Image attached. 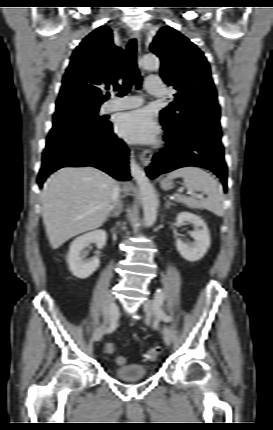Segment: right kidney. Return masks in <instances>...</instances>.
Returning a JSON list of instances; mask_svg holds the SVG:
<instances>
[{
	"label": "right kidney",
	"mask_w": 273,
	"mask_h": 430,
	"mask_svg": "<svg viewBox=\"0 0 273 430\" xmlns=\"http://www.w3.org/2000/svg\"><path fill=\"white\" fill-rule=\"evenodd\" d=\"M106 238V232L100 229L84 234L71 243L67 263L75 277L86 279L96 271L100 264L99 258L95 257L89 261H84V249L91 243H95L101 249L105 245Z\"/></svg>",
	"instance_id": "obj_1"
}]
</instances>
